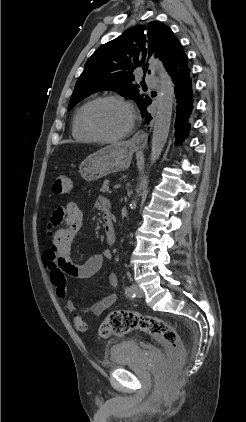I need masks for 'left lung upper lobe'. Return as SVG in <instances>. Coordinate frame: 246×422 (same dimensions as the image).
Segmentation results:
<instances>
[{"label": "left lung upper lobe", "mask_w": 246, "mask_h": 422, "mask_svg": "<svg viewBox=\"0 0 246 422\" xmlns=\"http://www.w3.org/2000/svg\"><path fill=\"white\" fill-rule=\"evenodd\" d=\"M179 45L171 29L156 21L125 31L89 57L76 82L68 109L93 93L113 90L135 101L142 111L151 99L139 94V85L134 83L132 72L138 67L147 71L146 59L152 54L167 68Z\"/></svg>", "instance_id": "5c2ea615"}]
</instances>
